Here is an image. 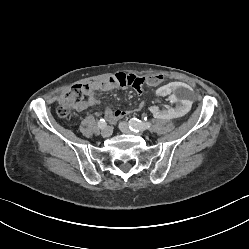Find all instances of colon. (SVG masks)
Segmentation results:
<instances>
[{
	"label": "colon",
	"mask_w": 249,
	"mask_h": 249,
	"mask_svg": "<svg viewBox=\"0 0 249 249\" xmlns=\"http://www.w3.org/2000/svg\"><path fill=\"white\" fill-rule=\"evenodd\" d=\"M165 74H157L154 76L146 75L144 79L133 76L128 80V86L136 89V94L144 96L147 93L145 88H142L145 84H156L160 81H165ZM85 87L81 84L71 86L61 97L59 105L57 107V114L66 120L71 118L72 109L76 108L84 99Z\"/></svg>",
	"instance_id": "1"
}]
</instances>
